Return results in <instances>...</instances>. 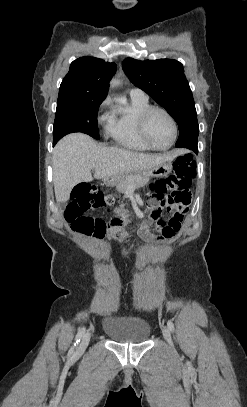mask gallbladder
<instances>
[{
	"mask_svg": "<svg viewBox=\"0 0 247 407\" xmlns=\"http://www.w3.org/2000/svg\"><path fill=\"white\" fill-rule=\"evenodd\" d=\"M59 207H60L61 209H63V208L65 207V203H60V204H59Z\"/></svg>",
	"mask_w": 247,
	"mask_h": 407,
	"instance_id": "1",
	"label": "gallbladder"
}]
</instances>
